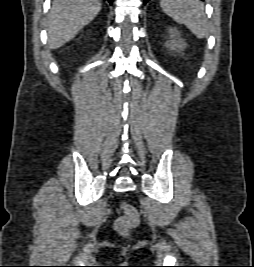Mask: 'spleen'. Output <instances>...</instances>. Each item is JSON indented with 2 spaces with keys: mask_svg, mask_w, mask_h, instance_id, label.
Returning a JSON list of instances; mask_svg holds the SVG:
<instances>
[{
  "mask_svg": "<svg viewBox=\"0 0 254 267\" xmlns=\"http://www.w3.org/2000/svg\"><path fill=\"white\" fill-rule=\"evenodd\" d=\"M162 10L172 19L184 24L197 38L209 34L204 4L200 0H161Z\"/></svg>",
  "mask_w": 254,
  "mask_h": 267,
  "instance_id": "spleen-1",
  "label": "spleen"
}]
</instances>
